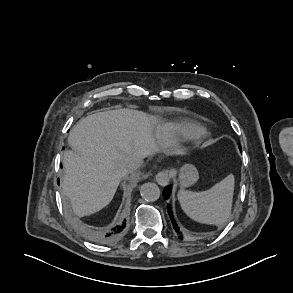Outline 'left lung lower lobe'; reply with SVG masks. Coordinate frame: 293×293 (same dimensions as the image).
<instances>
[{
  "instance_id": "left-lung-lower-lobe-1",
  "label": "left lung lower lobe",
  "mask_w": 293,
  "mask_h": 293,
  "mask_svg": "<svg viewBox=\"0 0 293 293\" xmlns=\"http://www.w3.org/2000/svg\"><path fill=\"white\" fill-rule=\"evenodd\" d=\"M171 194V187L170 186H167L164 191H163V196L165 199H168V197L170 196ZM167 209H168V214L170 216V219H171V222L173 224V228L175 229V231L178 233V234H181L180 230H179V227L177 226L175 220L173 219V213H172V210H171V206L169 204H167ZM182 236H180L181 238Z\"/></svg>"
}]
</instances>
